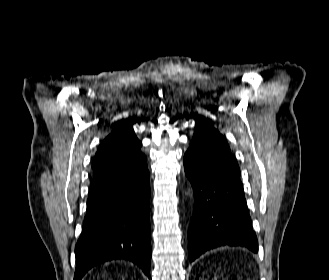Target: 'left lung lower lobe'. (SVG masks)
I'll return each instance as SVG.
<instances>
[{"instance_id":"1","label":"left lung lower lobe","mask_w":329,"mask_h":280,"mask_svg":"<svg viewBox=\"0 0 329 280\" xmlns=\"http://www.w3.org/2000/svg\"><path fill=\"white\" fill-rule=\"evenodd\" d=\"M219 162V177H210L193 170L184 160V169L194 191V213L188 231L191 261L222 246L245 247L258 252L238 164L229 158H220Z\"/></svg>"}]
</instances>
